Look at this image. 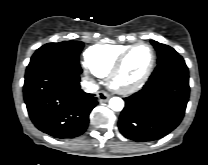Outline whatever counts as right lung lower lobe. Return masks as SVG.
Wrapping results in <instances>:
<instances>
[{"mask_svg":"<svg viewBox=\"0 0 208 165\" xmlns=\"http://www.w3.org/2000/svg\"><path fill=\"white\" fill-rule=\"evenodd\" d=\"M81 72L79 63L65 56L28 65L24 100L29 117L39 130L55 138H73L85 132L98 98L80 88Z\"/></svg>","mask_w":208,"mask_h":165,"instance_id":"1","label":"right lung lower lobe"}]
</instances>
